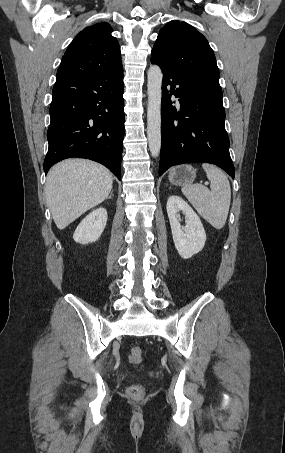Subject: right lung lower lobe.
I'll return each mask as SVG.
<instances>
[{"label":"right lung lower lobe","mask_w":285,"mask_h":453,"mask_svg":"<svg viewBox=\"0 0 285 453\" xmlns=\"http://www.w3.org/2000/svg\"><path fill=\"white\" fill-rule=\"evenodd\" d=\"M123 92V70L93 76H57L50 106L45 173L63 159L79 157L103 164L121 180Z\"/></svg>","instance_id":"right-lung-lower-lobe-1"}]
</instances>
